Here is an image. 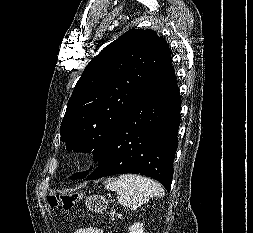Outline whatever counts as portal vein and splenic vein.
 <instances>
[{
	"mask_svg": "<svg viewBox=\"0 0 253 233\" xmlns=\"http://www.w3.org/2000/svg\"><path fill=\"white\" fill-rule=\"evenodd\" d=\"M121 217V215H118V218H120Z\"/></svg>",
	"mask_w": 253,
	"mask_h": 233,
	"instance_id": "1",
	"label": "portal vein and splenic vein"
}]
</instances>
